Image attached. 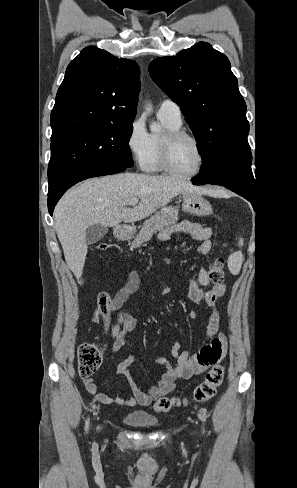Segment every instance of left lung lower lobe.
I'll return each mask as SVG.
<instances>
[{
	"label": "left lung lower lobe",
	"mask_w": 297,
	"mask_h": 488,
	"mask_svg": "<svg viewBox=\"0 0 297 488\" xmlns=\"http://www.w3.org/2000/svg\"><path fill=\"white\" fill-rule=\"evenodd\" d=\"M193 184L196 185H202V184H217V185H222L233 192L237 193L238 195L244 197L248 201H250L252 204L254 203V198H255V191L253 189H250L240 183L234 182V181H229V180H218V181H211V182H201L197 180V177L192 178Z\"/></svg>",
	"instance_id": "0a47b994"
}]
</instances>
